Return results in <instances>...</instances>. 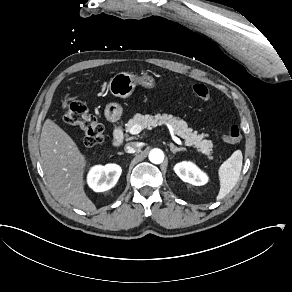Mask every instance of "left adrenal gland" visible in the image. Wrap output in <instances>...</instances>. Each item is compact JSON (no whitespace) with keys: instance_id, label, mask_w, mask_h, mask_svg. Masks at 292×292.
<instances>
[{"instance_id":"a2214340","label":"left adrenal gland","mask_w":292,"mask_h":292,"mask_svg":"<svg viewBox=\"0 0 292 292\" xmlns=\"http://www.w3.org/2000/svg\"><path fill=\"white\" fill-rule=\"evenodd\" d=\"M169 146H170V150H171L174 154H175L176 152H178V151H184V150H186V149L183 148V147H180V148L176 147L173 143H170Z\"/></svg>"}]
</instances>
